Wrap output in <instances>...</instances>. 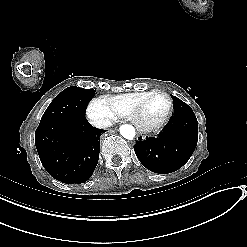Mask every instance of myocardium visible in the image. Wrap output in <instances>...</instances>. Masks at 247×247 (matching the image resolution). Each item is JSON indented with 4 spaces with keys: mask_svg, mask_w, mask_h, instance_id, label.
<instances>
[{
    "mask_svg": "<svg viewBox=\"0 0 247 247\" xmlns=\"http://www.w3.org/2000/svg\"><path fill=\"white\" fill-rule=\"evenodd\" d=\"M154 95H161L166 98L167 104L164 113L162 116L157 120H149L145 113V103L146 100ZM172 106L173 101L172 98L165 92L160 90H152L150 91L147 96L136 103L135 108L139 114V120L137 122V128L140 132H151L158 128H160L171 116L172 114Z\"/></svg>",
    "mask_w": 247,
    "mask_h": 247,
    "instance_id": "f54148a6",
    "label": "myocardium"
}]
</instances>
